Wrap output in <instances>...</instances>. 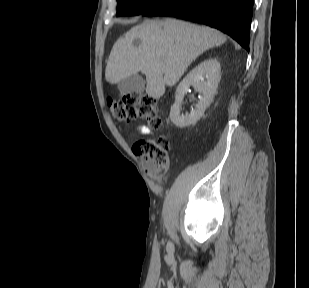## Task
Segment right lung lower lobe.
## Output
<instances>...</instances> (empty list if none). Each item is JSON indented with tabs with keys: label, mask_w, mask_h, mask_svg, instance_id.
I'll list each match as a JSON object with an SVG mask.
<instances>
[{
	"label": "right lung lower lobe",
	"mask_w": 309,
	"mask_h": 288,
	"mask_svg": "<svg viewBox=\"0 0 309 288\" xmlns=\"http://www.w3.org/2000/svg\"><path fill=\"white\" fill-rule=\"evenodd\" d=\"M254 0H162L143 16H171L217 28L249 51Z\"/></svg>",
	"instance_id": "obj_1"
}]
</instances>
